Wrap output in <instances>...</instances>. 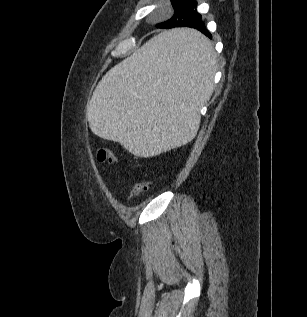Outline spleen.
<instances>
[{
    "mask_svg": "<svg viewBox=\"0 0 307 317\" xmlns=\"http://www.w3.org/2000/svg\"><path fill=\"white\" fill-rule=\"evenodd\" d=\"M214 65L199 29H164L104 77L91 97V130L133 155H170L197 133Z\"/></svg>",
    "mask_w": 307,
    "mask_h": 317,
    "instance_id": "3e777b00",
    "label": "spleen"
}]
</instances>
